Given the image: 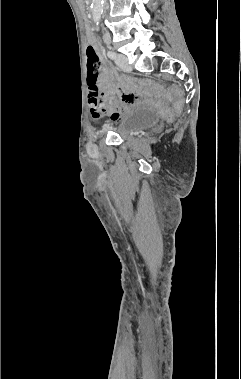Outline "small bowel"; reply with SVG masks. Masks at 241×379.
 Segmentation results:
<instances>
[{
	"mask_svg": "<svg viewBox=\"0 0 241 379\" xmlns=\"http://www.w3.org/2000/svg\"><path fill=\"white\" fill-rule=\"evenodd\" d=\"M88 89L89 92L86 95L85 104L90 115H92L95 120H99L102 115L109 114L108 119L110 125H117L122 117V110L114 109L121 107L124 111H127L139 103L138 91L119 80L105 66L101 68L99 84L89 83ZM106 92H118L121 94V97L118 102H108L104 97Z\"/></svg>",
	"mask_w": 241,
	"mask_h": 379,
	"instance_id": "c3829d8e",
	"label": "small bowel"
}]
</instances>
